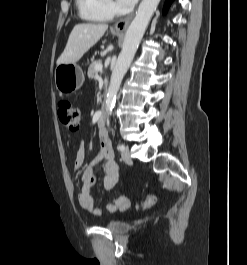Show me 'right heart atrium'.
<instances>
[{
    "instance_id": "1",
    "label": "right heart atrium",
    "mask_w": 247,
    "mask_h": 265,
    "mask_svg": "<svg viewBox=\"0 0 247 265\" xmlns=\"http://www.w3.org/2000/svg\"><path fill=\"white\" fill-rule=\"evenodd\" d=\"M103 7L104 10L111 16L118 11L116 4L112 0H103Z\"/></svg>"
}]
</instances>
